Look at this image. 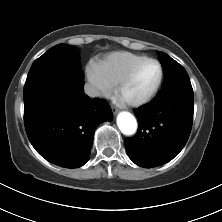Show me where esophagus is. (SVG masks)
Listing matches in <instances>:
<instances>
[{"label": "esophagus", "instance_id": "1", "mask_svg": "<svg viewBox=\"0 0 222 222\" xmlns=\"http://www.w3.org/2000/svg\"><path fill=\"white\" fill-rule=\"evenodd\" d=\"M112 111L115 115L118 113V109L116 107H112Z\"/></svg>", "mask_w": 222, "mask_h": 222}]
</instances>
